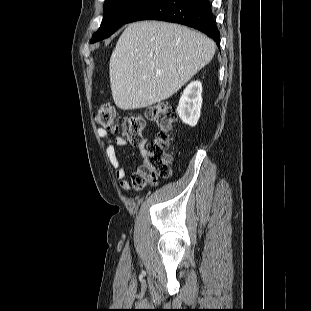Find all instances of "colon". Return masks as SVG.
Here are the masks:
<instances>
[{
	"label": "colon",
	"instance_id": "obj_1",
	"mask_svg": "<svg viewBox=\"0 0 311 311\" xmlns=\"http://www.w3.org/2000/svg\"><path fill=\"white\" fill-rule=\"evenodd\" d=\"M94 119L103 128L113 130L118 127L116 110L109 103L99 106ZM146 119L156 124L159 134L146 147L142 161L132 176V185L136 189H142L148 182L170 175L171 157L168 147L176 112L168 103H159L150 107L145 115L124 117L119 126L131 143L138 144L143 140Z\"/></svg>",
	"mask_w": 311,
	"mask_h": 311
}]
</instances>
